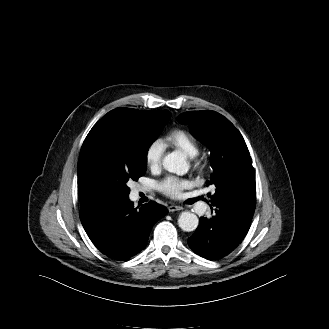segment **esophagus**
I'll list each match as a JSON object with an SVG mask.
<instances>
[{
	"mask_svg": "<svg viewBox=\"0 0 329 329\" xmlns=\"http://www.w3.org/2000/svg\"><path fill=\"white\" fill-rule=\"evenodd\" d=\"M183 208L181 206H177V205H170L168 207L169 212H174V211H178V210H182Z\"/></svg>",
	"mask_w": 329,
	"mask_h": 329,
	"instance_id": "1",
	"label": "esophagus"
}]
</instances>
